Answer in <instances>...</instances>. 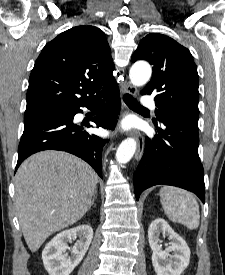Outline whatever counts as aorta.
<instances>
[{"label":"aorta","instance_id":"762f6f07","mask_svg":"<svg viewBox=\"0 0 225 275\" xmlns=\"http://www.w3.org/2000/svg\"><path fill=\"white\" fill-rule=\"evenodd\" d=\"M152 74L150 65L146 62L135 63L129 72V78L133 85L142 86L146 84ZM136 150V141L133 138L124 140L116 152V160L120 164H126L131 160Z\"/></svg>","mask_w":225,"mask_h":275}]
</instances>
